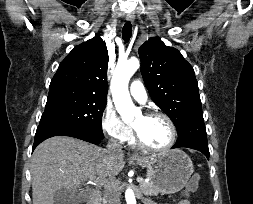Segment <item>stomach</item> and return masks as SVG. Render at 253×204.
Listing matches in <instances>:
<instances>
[{
  "label": "stomach",
  "mask_w": 253,
  "mask_h": 204,
  "mask_svg": "<svg viewBox=\"0 0 253 204\" xmlns=\"http://www.w3.org/2000/svg\"><path fill=\"white\" fill-rule=\"evenodd\" d=\"M132 161L146 168L148 179L162 194L182 190L194 171L190 157L181 150L136 156Z\"/></svg>",
  "instance_id": "stomach-1"
}]
</instances>
